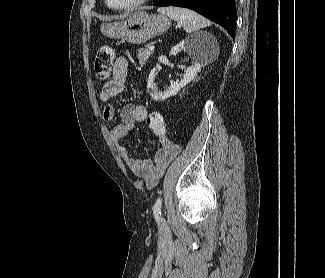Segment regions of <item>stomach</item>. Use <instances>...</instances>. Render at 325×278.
Here are the masks:
<instances>
[{
	"instance_id": "stomach-1",
	"label": "stomach",
	"mask_w": 325,
	"mask_h": 278,
	"mask_svg": "<svg viewBox=\"0 0 325 278\" xmlns=\"http://www.w3.org/2000/svg\"><path fill=\"white\" fill-rule=\"evenodd\" d=\"M170 25V20L164 15L141 11L132 13L123 21L103 23L100 30L109 38L121 39L131 44H142L167 31Z\"/></svg>"
}]
</instances>
